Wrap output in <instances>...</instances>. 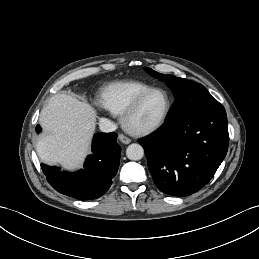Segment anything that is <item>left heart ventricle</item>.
<instances>
[{
    "label": "left heart ventricle",
    "instance_id": "left-heart-ventricle-1",
    "mask_svg": "<svg viewBox=\"0 0 259 259\" xmlns=\"http://www.w3.org/2000/svg\"><path fill=\"white\" fill-rule=\"evenodd\" d=\"M166 105L167 100L163 93L151 94L131 118V124L135 127H146L156 123L164 114Z\"/></svg>",
    "mask_w": 259,
    "mask_h": 259
}]
</instances>
